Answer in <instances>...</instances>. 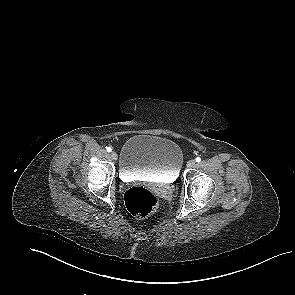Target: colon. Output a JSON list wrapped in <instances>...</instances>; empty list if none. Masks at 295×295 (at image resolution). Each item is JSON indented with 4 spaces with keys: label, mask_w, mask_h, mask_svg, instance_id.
<instances>
[{
    "label": "colon",
    "mask_w": 295,
    "mask_h": 295,
    "mask_svg": "<svg viewBox=\"0 0 295 295\" xmlns=\"http://www.w3.org/2000/svg\"><path fill=\"white\" fill-rule=\"evenodd\" d=\"M124 198L128 211L139 219L151 216L159 206L157 195L143 187L129 188Z\"/></svg>",
    "instance_id": "1"
}]
</instances>
